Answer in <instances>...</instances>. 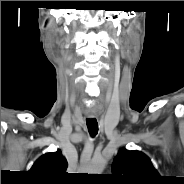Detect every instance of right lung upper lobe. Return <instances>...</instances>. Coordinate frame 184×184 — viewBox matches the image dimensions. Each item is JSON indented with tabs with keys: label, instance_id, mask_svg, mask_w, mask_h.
<instances>
[{
	"label": "right lung upper lobe",
	"instance_id": "cb5924a9",
	"mask_svg": "<svg viewBox=\"0 0 184 184\" xmlns=\"http://www.w3.org/2000/svg\"><path fill=\"white\" fill-rule=\"evenodd\" d=\"M67 160L60 150L41 156L31 167L30 172L38 183L62 184L67 180Z\"/></svg>",
	"mask_w": 184,
	"mask_h": 184
}]
</instances>
